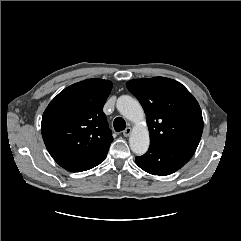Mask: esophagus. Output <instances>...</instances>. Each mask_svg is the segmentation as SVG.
I'll return each instance as SVG.
<instances>
[{
	"label": "esophagus",
	"mask_w": 241,
	"mask_h": 241,
	"mask_svg": "<svg viewBox=\"0 0 241 241\" xmlns=\"http://www.w3.org/2000/svg\"><path fill=\"white\" fill-rule=\"evenodd\" d=\"M132 132V129L130 127H127L124 131H123V135L125 137H128Z\"/></svg>",
	"instance_id": "obj_1"
}]
</instances>
